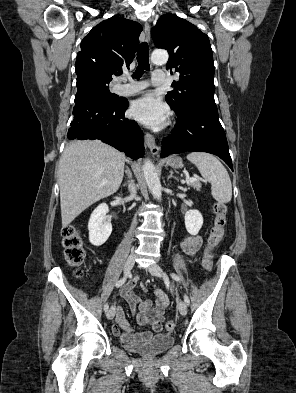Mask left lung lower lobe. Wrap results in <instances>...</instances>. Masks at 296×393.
Wrapping results in <instances>:
<instances>
[{"mask_svg": "<svg viewBox=\"0 0 296 393\" xmlns=\"http://www.w3.org/2000/svg\"><path fill=\"white\" fill-rule=\"evenodd\" d=\"M186 151L217 155L233 170L216 106L200 104L190 108L184 116L178 118L173 133L162 140L161 157Z\"/></svg>", "mask_w": 296, "mask_h": 393, "instance_id": "0a47b994", "label": "left lung lower lobe"}]
</instances>
